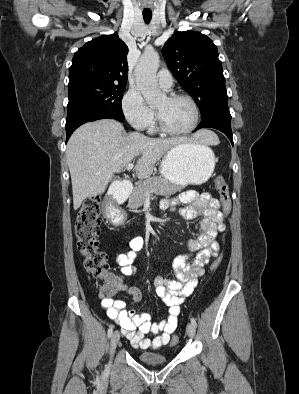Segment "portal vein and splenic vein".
<instances>
[{
  "instance_id": "portal-vein-and-splenic-vein-1",
  "label": "portal vein and splenic vein",
  "mask_w": 299,
  "mask_h": 394,
  "mask_svg": "<svg viewBox=\"0 0 299 394\" xmlns=\"http://www.w3.org/2000/svg\"><path fill=\"white\" fill-rule=\"evenodd\" d=\"M126 169H127V170L133 169V164H132V163H129V164L127 165Z\"/></svg>"
}]
</instances>
